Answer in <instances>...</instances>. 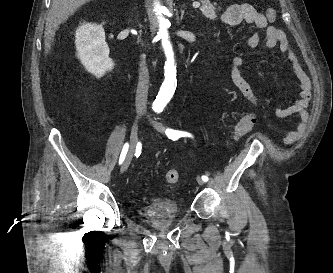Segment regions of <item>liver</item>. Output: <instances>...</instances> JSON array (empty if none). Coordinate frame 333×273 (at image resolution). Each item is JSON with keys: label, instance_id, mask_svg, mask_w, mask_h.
<instances>
[{"label": "liver", "instance_id": "obj_1", "mask_svg": "<svg viewBox=\"0 0 333 273\" xmlns=\"http://www.w3.org/2000/svg\"><path fill=\"white\" fill-rule=\"evenodd\" d=\"M91 0H53L52 8L45 27V53L48 54L54 41L55 32L61 23L73 15L79 7Z\"/></svg>", "mask_w": 333, "mask_h": 273}]
</instances>
